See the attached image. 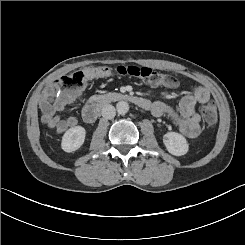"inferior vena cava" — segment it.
Returning a JSON list of instances; mask_svg holds the SVG:
<instances>
[{
    "label": "inferior vena cava",
    "mask_w": 245,
    "mask_h": 245,
    "mask_svg": "<svg viewBox=\"0 0 245 245\" xmlns=\"http://www.w3.org/2000/svg\"><path fill=\"white\" fill-rule=\"evenodd\" d=\"M101 113L105 119H112L116 115V110L114 106L107 104L102 108Z\"/></svg>",
    "instance_id": "obj_1"
}]
</instances>
